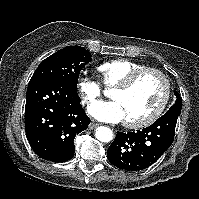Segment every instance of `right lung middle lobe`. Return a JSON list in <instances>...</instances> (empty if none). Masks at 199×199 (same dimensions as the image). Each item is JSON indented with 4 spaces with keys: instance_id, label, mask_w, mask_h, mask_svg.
<instances>
[{
    "instance_id": "dd1d6c3e",
    "label": "right lung middle lobe",
    "mask_w": 199,
    "mask_h": 199,
    "mask_svg": "<svg viewBox=\"0 0 199 199\" xmlns=\"http://www.w3.org/2000/svg\"><path fill=\"white\" fill-rule=\"evenodd\" d=\"M91 60V54L83 47L67 46L44 59L31 80L55 77L77 91L80 71Z\"/></svg>"
}]
</instances>
